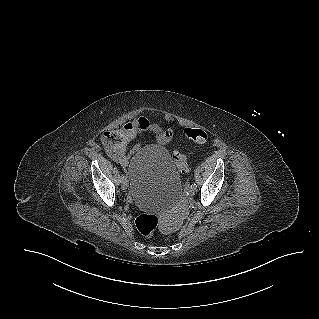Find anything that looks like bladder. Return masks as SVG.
<instances>
[{
	"mask_svg": "<svg viewBox=\"0 0 319 319\" xmlns=\"http://www.w3.org/2000/svg\"><path fill=\"white\" fill-rule=\"evenodd\" d=\"M127 174L133 202L139 208L162 212L178 198L180 174L163 146L140 148L128 162Z\"/></svg>",
	"mask_w": 319,
	"mask_h": 319,
	"instance_id": "31cf9c89",
	"label": "bladder"
}]
</instances>
